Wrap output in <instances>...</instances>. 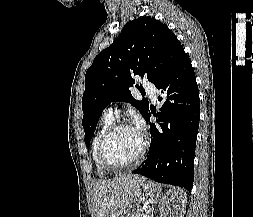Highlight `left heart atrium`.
Segmentation results:
<instances>
[{
	"instance_id": "obj_1",
	"label": "left heart atrium",
	"mask_w": 253,
	"mask_h": 217,
	"mask_svg": "<svg viewBox=\"0 0 253 217\" xmlns=\"http://www.w3.org/2000/svg\"><path fill=\"white\" fill-rule=\"evenodd\" d=\"M133 127H135L136 129H138L139 131H141V129L143 128V123L142 120L139 117H135L133 120Z\"/></svg>"
}]
</instances>
